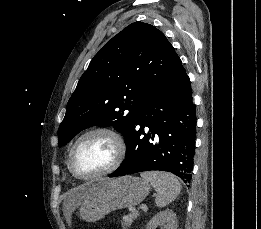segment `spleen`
Wrapping results in <instances>:
<instances>
[{
  "label": "spleen",
  "mask_w": 261,
  "mask_h": 229,
  "mask_svg": "<svg viewBox=\"0 0 261 229\" xmlns=\"http://www.w3.org/2000/svg\"><path fill=\"white\" fill-rule=\"evenodd\" d=\"M140 177L151 183L153 189L157 193L155 203L157 207H166L172 203L181 193V185L172 173H165V171H147L141 173Z\"/></svg>",
  "instance_id": "3e777b00"
}]
</instances>
